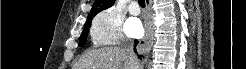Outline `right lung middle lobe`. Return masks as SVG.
<instances>
[{
    "instance_id": "obj_1",
    "label": "right lung middle lobe",
    "mask_w": 246,
    "mask_h": 69,
    "mask_svg": "<svg viewBox=\"0 0 246 69\" xmlns=\"http://www.w3.org/2000/svg\"><path fill=\"white\" fill-rule=\"evenodd\" d=\"M91 26V21H88L85 23V29L83 30L81 36H80V40H79V46L83 47L86 43V38H87V34L89 32V27Z\"/></svg>"
}]
</instances>
